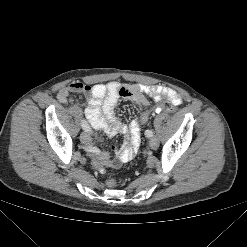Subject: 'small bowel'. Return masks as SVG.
<instances>
[{
    "instance_id": "obj_1",
    "label": "small bowel",
    "mask_w": 247,
    "mask_h": 247,
    "mask_svg": "<svg viewBox=\"0 0 247 247\" xmlns=\"http://www.w3.org/2000/svg\"><path fill=\"white\" fill-rule=\"evenodd\" d=\"M121 88L125 89L124 94H121ZM72 93L83 94L87 98L85 116L94 129L102 130L109 136L124 134L126 141L119 151L114 150L117 154L115 159H111L109 153H103L97 148L88 149L93 165L101 162L104 166L113 168L119 167L135 156L140 144V130L143 124L142 116L133 120L129 126L116 117L115 107L120 98L133 101L139 106L148 105L146 96L157 102L165 99L173 105H180L182 102L180 95L168 87L143 84L121 85L116 81L94 85L72 82L58 91L57 98L61 103L71 105L74 102Z\"/></svg>"
}]
</instances>
